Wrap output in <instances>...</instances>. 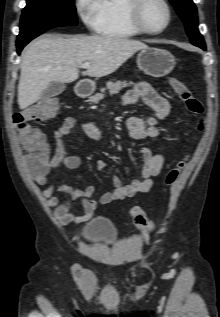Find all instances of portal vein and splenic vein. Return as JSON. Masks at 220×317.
<instances>
[{
  "mask_svg": "<svg viewBox=\"0 0 220 317\" xmlns=\"http://www.w3.org/2000/svg\"><path fill=\"white\" fill-rule=\"evenodd\" d=\"M90 66H91L90 63H83V64L80 65V68L88 69Z\"/></svg>",
  "mask_w": 220,
  "mask_h": 317,
  "instance_id": "obj_1",
  "label": "portal vein and splenic vein"
}]
</instances>
